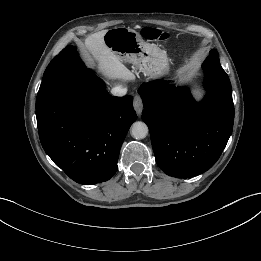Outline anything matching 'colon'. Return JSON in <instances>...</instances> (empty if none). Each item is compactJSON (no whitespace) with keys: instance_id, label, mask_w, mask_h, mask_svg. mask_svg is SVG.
<instances>
[{"instance_id":"1","label":"colon","mask_w":261,"mask_h":261,"mask_svg":"<svg viewBox=\"0 0 261 261\" xmlns=\"http://www.w3.org/2000/svg\"><path fill=\"white\" fill-rule=\"evenodd\" d=\"M142 35L148 40L165 41L168 40L170 35L157 28L146 27L142 30Z\"/></svg>"}]
</instances>
